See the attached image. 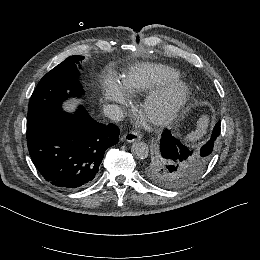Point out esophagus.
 <instances>
[{
  "mask_svg": "<svg viewBox=\"0 0 260 260\" xmlns=\"http://www.w3.org/2000/svg\"><path fill=\"white\" fill-rule=\"evenodd\" d=\"M124 140L132 143L141 139V136L136 132H128L123 136Z\"/></svg>",
  "mask_w": 260,
  "mask_h": 260,
  "instance_id": "1",
  "label": "esophagus"
}]
</instances>
